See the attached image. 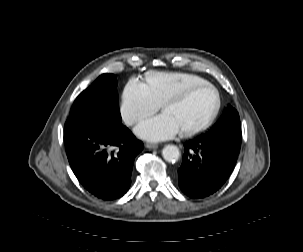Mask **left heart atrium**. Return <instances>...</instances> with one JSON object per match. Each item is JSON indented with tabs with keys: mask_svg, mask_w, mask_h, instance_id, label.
Returning <instances> with one entry per match:
<instances>
[{
	"mask_svg": "<svg viewBox=\"0 0 303 252\" xmlns=\"http://www.w3.org/2000/svg\"><path fill=\"white\" fill-rule=\"evenodd\" d=\"M179 132L178 126L167 113L150 117L136 127V134L150 141L168 140Z\"/></svg>",
	"mask_w": 303,
	"mask_h": 252,
	"instance_id": "1",
	"label": "left heart atrium"
}]
</instances>
